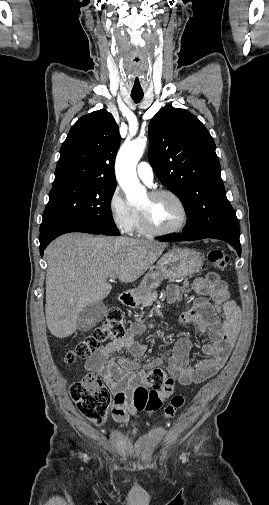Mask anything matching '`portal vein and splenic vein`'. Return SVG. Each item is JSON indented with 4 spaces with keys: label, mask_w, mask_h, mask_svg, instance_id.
Returning a JSON list of instances; mask_svg holds the SVG:
<instances>
[{
    "label": "portal vein and splenic vein",
    "mask_w": 269,
    "mask_h": 505,
    "mask_svg": "<svg viewBox=\"0 0 269 505\" xmlns=\"http://www.w3.org/2000/svg\"><path fill=\"white\" fill-rule=\"evenodd\" d=\"M115 278H116V276H115V275L110 276V281L115 280Z\"/></svg>",
    "instance_id": "obj_1"
}]
</instances>
